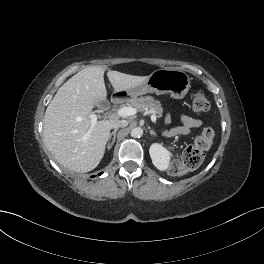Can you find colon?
Returning a JSON list of instances; mask_svg holds the SVG:
<instances>
[{"label": "colon", "mask_w": 264, "mask_h": 264, "mask_svg": "<svg viewBox=\"0 0 264 264\" xmlns=\"http://www.w3.org/2000/svg\"><path fill=\"white\" fill-rule=\"evenodd\" d=\"M190 108L194 113H204L210 109V102L202 91L196 90L191 95ZM214 135L212 128L205 127L195 139L194 144L184 150L182 161H174L172 163L171 173L179 175L197 166L203 157L204 151L212 144Z\"/></svg>", "instance_id": "5ec220e1"}]
</instances>
